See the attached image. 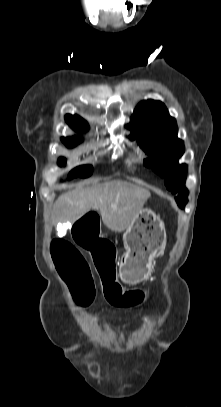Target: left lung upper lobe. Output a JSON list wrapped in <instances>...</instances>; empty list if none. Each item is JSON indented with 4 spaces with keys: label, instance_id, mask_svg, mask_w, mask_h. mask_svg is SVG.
Wrapping results in <instances>:
<instances>
[{
    "label": "left lung upper lobe",
    "instance_id": "left-lung-upper-lobe-1",
    "mask_svg": "<svg viewBox=\"0 0 221 407\" xmlns=\"http://www.w3.org/2000/svg\"><path fill=\"white\" fill-rule=\"evenodd\" d=\"M128 128L130 138H136L140 147L154 160H145V165L165 178L167 189L178 194L176 200L187 199V166L178 164L184 153V144L177 138L176 120L169 115L165 105L160 101H142L136 107Z\"/></svg>",
    "mask_w": 221,
    "mask_h": 407
}]
</instances>
